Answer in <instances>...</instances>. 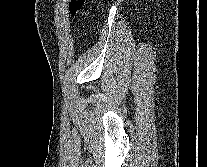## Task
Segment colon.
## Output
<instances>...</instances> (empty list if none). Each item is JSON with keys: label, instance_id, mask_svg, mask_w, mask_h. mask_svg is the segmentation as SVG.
Masks as SVG:
<instances>
[{"label": "colon", "instance_id": "colon-1", "mask_svg": "<svg viewBox=\"0 0 207 167\" xmlns=\"http://www.w3.org/2000/svg\"><path fill=\"white\" fill-rule=\"evenodd\" d=\"M87 0H71L69 11L72 15H78L83 10Z\"/></svg>", "mask_w": 207, "mask_h": 167}]
</instances>
